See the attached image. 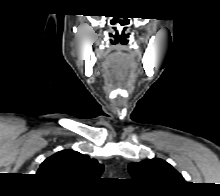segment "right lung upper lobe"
<instances>
[{
  "instance_id": "cb5924a9",
  "label": "right lung upper lobe",
  "mask_w": 220,
  "mask_h": 196,
  "mask_svg": "<svg viewBox=\"0 0 220 196\" xmlns=\"http://www.w3.org/2000/svg\"><path fill=\"white\" fill-rule=\"evenodd\" d=\"M104 166L77 151L62 150L47 158L37 174L54 182L90 185L99 178Z\"/></svg>"
}]
</instances>
